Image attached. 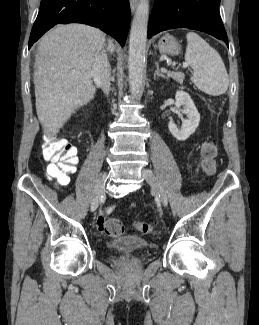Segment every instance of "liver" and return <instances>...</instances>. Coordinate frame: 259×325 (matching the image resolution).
<instances>
[{
  "label": "liver",
  "instance_id": "1",
  "mask_svg": "<svg viewBox=\"0 0 259 325\" xmlns=\"http://www.w3.org/2000/svg\"><path fill=\"white\" fill-rule=\"evenodd\" d=\"M105 35L83 24L58 25L41 39L34 65L36 112L48 138L95 94L92 67ZM108 49L114 52L112 40Z\"/></svg>",
  "mask_w": 259,
  "mask_h": 325
}]
</instances>
